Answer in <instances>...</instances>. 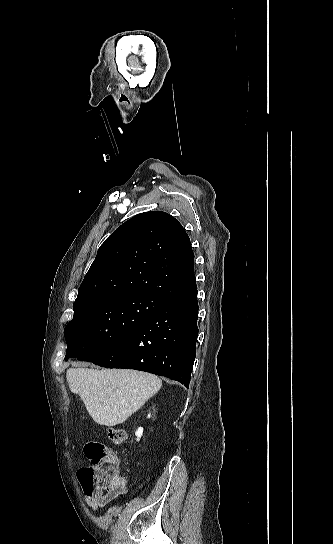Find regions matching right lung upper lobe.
<instances>
[{
    "label": "right lung upper lobe",
    "instance_id": "obj_1",
    "mask_svg": "<svg viewBox=\"0 0 333 544\" xmlns=\"http://www.w3.org/2000/svg\"><path fill=\"white\" fill-rule=\"evenodd\" d=\"M195 287L186 231L173 216L151 211L132 217L105 240L74 303L132 293L167 301Z\"/></svg>",
    "mask_w": 333,
    "mask_h": 544
}]
</instances>
